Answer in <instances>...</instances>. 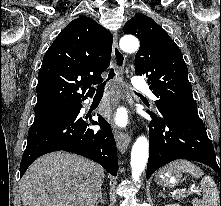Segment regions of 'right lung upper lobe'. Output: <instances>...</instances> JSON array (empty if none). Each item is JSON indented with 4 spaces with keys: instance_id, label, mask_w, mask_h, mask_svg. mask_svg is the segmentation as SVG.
<instances>
[{
    "instance_id": "cb5924a9",
    "label": "right lung upper lobe",
    "mask_w": 221,
    "mask_h": 206,
    "mask_svg": "<svg viewBox=\"0 0 221 206\" xmlns=\"http://www.w3.org/2000/svg\"><path fill=\"white\" fill-rule=\"evenodd\" d=\"M110 32L89 17L71 21L44 55L38 73L35 107L74 105L103 81L112 50ZM86 95L84 96V94Z\"/></svg>"
}]
</instances>
